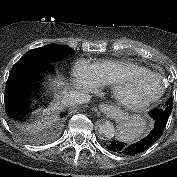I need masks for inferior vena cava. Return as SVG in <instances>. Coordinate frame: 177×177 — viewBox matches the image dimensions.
I'll use <instances>...</instances> for the list:
<instances>
[{
	"label": "inferior vena cava",
	"instance_id": "inferior-vena-cava-1",
	"mask_svg": "<svg viewBox=\"0 0 177 177\" xmlns=\"http://www.w3.org/2000/svg\"><path fill=\"white\" fill-rule=\"evenodd\" d=\"M91 99V96L84 91H69L64 95L62 102L67 105H77L88 103Z\"/></svg>",
	"mask_w": 177,
	"mask_h": 177
}]
</instances>
